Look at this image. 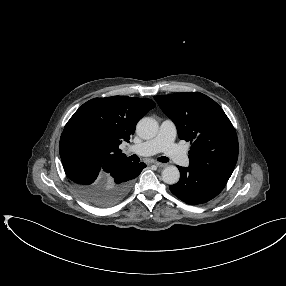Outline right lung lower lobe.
<instances>
[{
	"instance_id": "1",
	"label": "right lung lower lobe",
	"mask_w": 286,
	"mask_h": 286,
	"mask_svg": "<svg viewBox=\"0 0 286 286\" xmlns=\"http://www.w3.org/2000/svg\"><path fill=\"white\" fill-rule=\"evenodd\" d=\"M59 151L65 173L77 193L99 207L118 203L146 167L131 161L104 163L84 139L72 132L62 133Z\"/></svg>"
}]
</instances>
